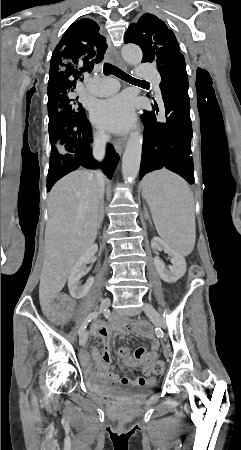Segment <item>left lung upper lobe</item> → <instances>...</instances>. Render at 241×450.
<instances>
[{
  "label": "left lung upper lobe",
  "instance_id": "left-lung-upper-lobe-1",
  "mask_svg": "<svg viewBox=\"0 0 241 450\" xmlns=\"http://www.w3.org/2000/svg\"><path fill=\"white\" fill-rule=\"evenodd\" d=\"M125 43H135L143 51L142 62L156 63L164 83V77L174 74L183 83L184 56L174 33L153 14H144L137 23H132L125 34Z\"/></svg>",
  "mask_w": 241,
  "mask_h": 450
}]
</instances>
